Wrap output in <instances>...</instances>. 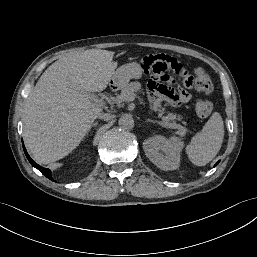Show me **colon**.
Masks as SVG:
<instances>
[{"instance_id":"obj_1","label":"colon","mask_w":257,"mask_h":257,"mask_svg":"<svg viewBox=\"0 0 257 257\" xmlns=\"http://www.w3.org/2000/svg\"><path fill=\"white\" fill-rule=\"evenodd\" d=\"M171 57V56H170ZM195 90L201 94H209L213 90V83L210 76L203 68H196L194 75ZM213 110V105L208 99H198L195 102V111L201 118H207L210 116Z\"/></svg>"}]
</instances>
